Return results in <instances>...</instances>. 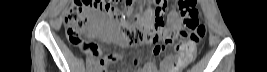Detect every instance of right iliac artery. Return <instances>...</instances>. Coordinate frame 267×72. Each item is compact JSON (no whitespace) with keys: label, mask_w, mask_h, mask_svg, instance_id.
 Wrapping results in <instances>:
<instances>
[{"label":"right iliac artery","mask_w":267,"mask_h":72,"mask_svg":"<svg viewBox=\"0 0 267 72\" xmlns=\"http://www.w3.org/2000/svg\"><path fill=\"white\" fill-rule=\"evenodd\" d=\"M92 68H93V65L92 63L90 62L87 66V72H91L92 71Z\"/></svg>","instance_id":"obj_1"}]
</instances>
